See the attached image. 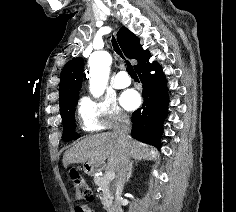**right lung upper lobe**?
I'll use <instances>...</instances> for the list:
<instances>
[{
  "instance_id": "cb5924a9",
  "label": "right lung upper lobe",
  "mask_w": 236,
  "mask_h": 212,
  "mask_svg": "<svg viewBox=\"0 0 236 212\" xmlns=\"http://www.w3.org/2000/svg\"><path fill=\"white\" fill-rule=\"evenodd\" d=\"M117 40L129 59H136L138 64L136 69L149 54L148 50H143L139 44V39L126 27H121L117 33ZM83 59L76 57L70 60L63 68L60 76L59 102L60 110L68 101L78 98L82 85Z\"/></svg>"
}]
</instances>
